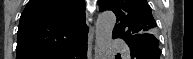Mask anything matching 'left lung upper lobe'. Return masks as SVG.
<instances>
[{
  "label": "left lung upper lobe",
  "instance_id": "1",
  "mask_svg": "<svg viewBox=\"0 0 193 59\" xmlns=\"http://www.w3.org/2000/svg\"><path fill=\"white\" fill-rule=\"evenodd\" d=\"M99 10H112L117 17L113 35L124 40L131 37L153 39L156 22L146 0H99Z\"/></svg>",
  "mask_w": 193,
  "mask_h": 59
}]
</instances>
